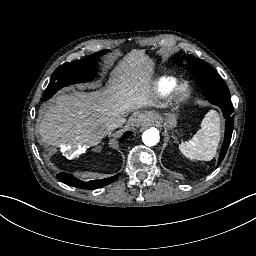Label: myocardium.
Segmentation results:
<instances>
[{
    "label": "myocardium",
    "mask_w": 256,
    "mask_h": 256,
    "mask_svg": "<svg viewBox=\"0 0 256 256\" xmlns=\"http://www.w3.org/2000/svg\"><path fill=\"white\" fill-rule=\"evenodd\" d=\"M191 97V89L187 82H183L176 86L173 93V100L176 105L186 103Z\"/></svg>",
    "instance_id": "1"
}]
</instances>
